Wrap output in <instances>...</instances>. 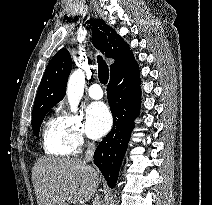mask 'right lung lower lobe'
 Returning a JSON list of instances; mask_svg holds the SVG:
<instances>
[{"label":"right lung lower lobe","mask_w":212,"mask_h":205,"mask_svg":"<svg viewBox=\"0 0 212 205\" xmlns=\"http://www.w3.org/2000/svg\"><path fill=\"white\" fill-rule=\"evenodd\" d=\"M140 84V72L136 60L110 75L107 93L114 124L113 129L99 143L94 153V163L111 188L115 187L134 128V119L140 112Z\"/></svg>","instance_id":"right-lung-lower-lobe-1"}]
</instances>
